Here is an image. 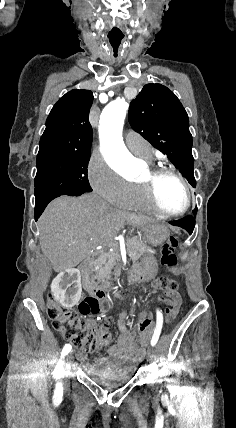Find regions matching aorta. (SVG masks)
Returning a JSON list of instances; mask_svg holds the SVG:
<instances>
[{
  "label": "aorta",
  "mask_w": 236,
  "mask_h": 428,
  "mask_svg": "<svg viewBox=\"0 0 236 428\" xmlns=\"http://www.w3.org/2000/svg\"><path fill=\"white\" fill-rule=\"evenodd\" d=\"M124 98L109 103L102 111L99 125L100 149L104 159L127 178L136 176L135 158L126 148L122 130L128 110Z\"/></svg>",
  "instance_id": "762f6f07"
}]
</instances>
